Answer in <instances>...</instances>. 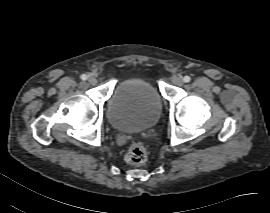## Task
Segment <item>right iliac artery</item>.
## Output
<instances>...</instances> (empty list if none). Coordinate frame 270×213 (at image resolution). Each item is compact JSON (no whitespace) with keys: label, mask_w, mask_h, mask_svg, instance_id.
Returning <instances> with one entry per match:
<instances>
[{"label":"right iliac artery","mask_w":270,"mask_h":213,"mask_svg":"<svg viewBox=\"0 0 270 213\" xmlns=\"http://www.w3.org/2000/svg\"><path fill=\"white\" fill-rule=\"evenodd\" d=\"M81 79L85 81V80L88 79V76H87L86 74H82V75H81Z\"/></svg>","instance_id":"82829eb1"}]
</instances>
